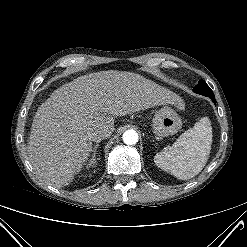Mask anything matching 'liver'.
<instances>
[{
	"label": "liver",
	"mask_w": 247,
	"mask_h": 247,
	"mask_svg": "<svg viewBox=\"0 0 247 247\" xmlns=\"http://www.w3.org/2000/svg\"><path fill=\"white\" fill-rule=\"evenodd\" d=\"M164 104L183 102L139 74L109 70L80 76L39 106L27 148L29 160L44 182L58 189L67 186L93 151L91 132L103 130L108 138L116 116Z\"/></svg>",
	"instance_id": "liver-1"
}]
</instances>
